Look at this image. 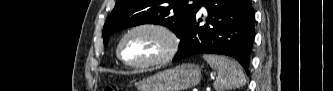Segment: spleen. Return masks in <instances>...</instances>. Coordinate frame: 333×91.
Masks as SVG:
<instances>
[{
	"instance_id": "spleen-1",
	"label": "spleen",
	"mask_w": 333,
	"mask_h": 91,
	"mask_svg": "<svg viewBox=\"0 0 333 91\" xmlns=\"http://www.w3.org/2000/svg\"><path fill=\"white\" fill-rule=\"evenodd\" d=\"M203 58L212 69L217 71V77L214 82L216 91H227L245 85L244 72L237 62L224 56L211 54H204Z\"/></svg>"
}]
</instances>
